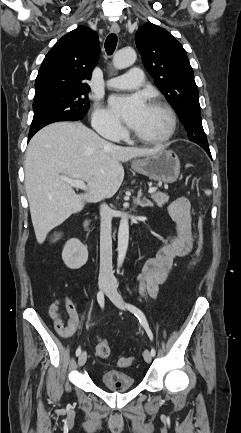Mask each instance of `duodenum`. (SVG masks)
Here are the masks:
<instances>
[{
    "mask_svg": "<svg viewBox=\"0 0 241 433\" xmlns=\"http://www.w3.org/2000/svg\"><path fill=\"white\" fill-rule=\"evenodd\" d=\"M83 227L85 231L89 230V220L87 218H85L83 221Z\"/></svg>",
    "mask_w": 241,
    "mask_h": 433,
    "instance_id": "duodenum-1",
    "label": "duodenum"
}]
</instances>
